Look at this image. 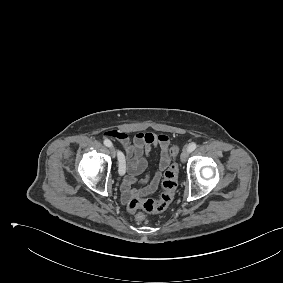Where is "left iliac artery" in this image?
I'll return each instance as SVG.
<instances>
[{
	"label": "left iliac artery",
	"instance_id": "left-iliac-artery-1",
	"mask_svg": "<svg viewBox=\"0 0 283 283\" xmlns=\"http://www.w3.org/2000/svg\"><path fill=\"white\" fill-rule=\"evenodd\" d=\"M196 147H197L196 143L193 142V143L189 144L188 151L192 152L196 149Z\"/></svg>",
	"mask_w": 283,
	"mask_h": 283
}]
</instances>
